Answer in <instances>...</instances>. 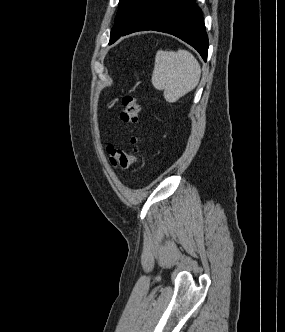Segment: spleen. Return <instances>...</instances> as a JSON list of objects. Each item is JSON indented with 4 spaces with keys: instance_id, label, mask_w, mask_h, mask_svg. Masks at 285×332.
I'll list each match as a JSON object with an SVG mask.
<instances>
[{
    "instance_id": "3e777b00",
    "label": "spleen",
    "mask_w": 285,
    "mask_h": 332,
    "mask_svg": "<svg viewBox=\"0 0 285 332\" xmlns=\"http://www.w3.org/2000/svg\"><path fill=\"white\" fill-rule=\"evenodd\" d=\"M201 67L195 57L187 50H158L152 74V84L164 91V98L174 103L198 84Z\"/></svg>"
}]
</instances>
